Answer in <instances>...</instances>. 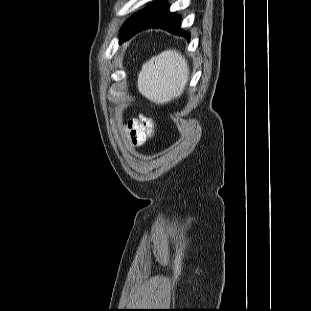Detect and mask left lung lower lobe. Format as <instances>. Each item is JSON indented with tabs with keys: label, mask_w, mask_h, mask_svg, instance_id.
<instances>
[{
	"label": "left lung lower lobe",
	"mask_w": 311,
	"mask_h": 311,
	"mask_svg": "<svg viewBox=\"0 0 311 311\" xmlns=\"http://www.w3.org/2000/svg\"><path fill=\"white\" fill-rule=\"evenodd\" d=\"M180 24V17L169 12L167 3L156 2L126 22L121 30L120 42L148 28H161L189 40L190 34L183 31Z\"/></svg>",
	"instance_id": "obj_1"
}]
</instances>
